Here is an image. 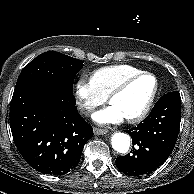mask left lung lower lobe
Returning <instances> with one entry per match:
<instances>
[{
  "label": "left lung lower lobe",
  "mask_w": 194,
  "mask_h": 194,
  "mask_svg": "<svg viewBox=\"0 0 194 194\" xmlns=\"http://www.w3.org/2000/svg\"><path fill=\"white\" fill-rule=\"evenodd\" d=\"M180 121L179 92L163 95L143 122L126 130L132 138L133 150L116 159L117 168L128 176L147 174L159 168L175 147Z\"/></svg>",
  "instance_id": "1"
}]
</instances>
